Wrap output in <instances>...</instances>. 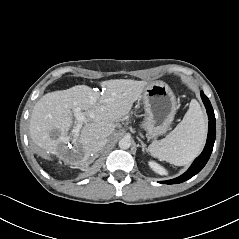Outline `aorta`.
I'll return each mask as SVG.
<instances>
[{"instance_id":"aorta-1","label":"aorta","mask_w":239,"mask_h":239,"mask_svg":"<svg viewBox=\"0 0 239 239\" xmlns=\"http://www.w3.org/2000/svg\"><path fill=\"white\" fill-rule=\"evenodd\" d=\"M118 145L121 149H129L131 146V140L128 137H123L119 140Z\"/></svg>"}]
</instances>
